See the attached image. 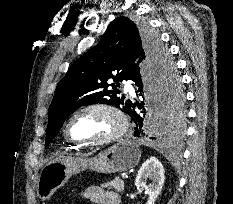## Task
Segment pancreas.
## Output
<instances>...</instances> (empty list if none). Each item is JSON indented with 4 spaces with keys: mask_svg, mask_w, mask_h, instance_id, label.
<instances>
[{
    "mask_svg": "<svg viewBox=\"0 0 233 204\" xmlns=\"http://www.w3.org/2000/svg\"><path fill=\"white\" fill-rule=\"evenodd\" d=\"M101 187L108 189H115L117 192H123L124 181L122 179L116 178L113 181L101 184Z\"/></svg>",
    "mask_w": 233,
    "mask_h": 204,
    "instance_id": "pancreas-1",
    "label": "pancreas"
}]
</instances>
